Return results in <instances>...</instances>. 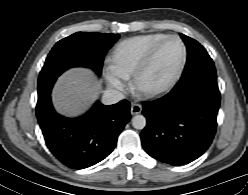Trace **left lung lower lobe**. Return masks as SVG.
Here are the masks:
<instances>
[{"mask_svg":"<svg viewBox=\"0 0 248 195\" xmlns=\"http://www.w3.org/2000/svg\"><path fill=\"white\" fill-rule=\"evenodd\" d=\"M220 92L216 79L181 83L164 97L144 104V150L171 165L188 164L210 146L217 128Z\"/></svg>","mask_w":248,"mask_h":195,"instance_id":"obj_1","label":"left lung lower lobe"}]
</instances>
